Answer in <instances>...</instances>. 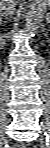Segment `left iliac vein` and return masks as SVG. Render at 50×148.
Wrapping results in <instances>:
<instances>
[{
    "label": "left iliac vein",
    "instance_id": "4c4485c4",
    "mask_svg": "<svg viewBox=\"0 0 50 148\" xmlns=\"http://www.w3.org/2000/svg\"><path fill=\"white\" fill-rule=\"evenodd\" d=\"M42 128H43V130H45L47 128V124H43Z\"/></svg>",
    "mask_w": 50,
    "mask_h": 148
}]
</instances>
